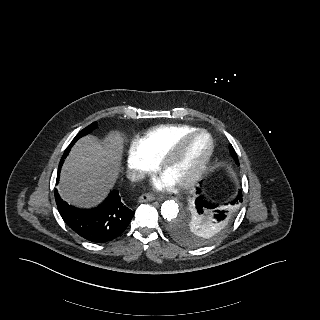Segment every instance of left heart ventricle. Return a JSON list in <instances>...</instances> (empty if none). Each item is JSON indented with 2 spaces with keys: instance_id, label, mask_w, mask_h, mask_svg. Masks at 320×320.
I'll return each mask as SVG.
<instances>
[{
  "instance_id": "1",
  "label": "left heart ventricle",
  "mask_w": 320,
  "mask_h": 320,
  "mask_svg": "<svg viewBox=\"0 0 320 320\" xmlns=\"http://www.w3.org/2000/svg\"><path fill=\"white\" fill-rule=\"evenodd\" d=\"M204 137L190 141L181 156L164 172L167 179L175 184L183 180L194 169L206 150Z\"/></svg>"
}]
</instances>
